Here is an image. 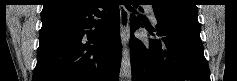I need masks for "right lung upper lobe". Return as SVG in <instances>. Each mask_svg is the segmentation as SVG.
Here are the masks:
<instances>
[{
	"mask_svg": "<svg viewBox=\"0 0 237 81\" xmlns=\"http://www.w3.org/2000/svg\"><path fill=\"white\" fill-rule=\"evenodd\" d=\"M88 0H45L41 19L76 12L84 8Z\"/></svg>",
	"mask_w": 237,
	"mask_h": 81,
	"instance_id": "1",
	"label": "right lung upper lobe"
}]
</instances>
